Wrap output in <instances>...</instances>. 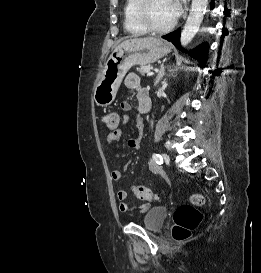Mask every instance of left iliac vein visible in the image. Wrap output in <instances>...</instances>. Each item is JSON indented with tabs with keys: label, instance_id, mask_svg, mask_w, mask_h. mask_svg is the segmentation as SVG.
Wrapping results in <instances>:
<instances>
[{
	"label": "left iliac vein",
	"instance_id": "1",
	"mask_svg": "<svg viewBox=\"0 0 261 273\" xmlns=\"http://www.w3.org/2000/svg\"><path fill=\"white\" fill-rule=\"evenodd\" d=\"M162 157H163V160L165 161V162H169L170 161V157H169V155H167V154H162Z\"/></svg>",
	"mask_w": 261,
	"mask_h": 273
}]
</instances>
